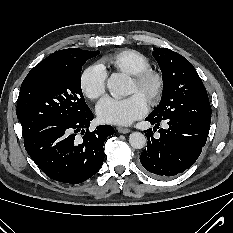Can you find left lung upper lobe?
<instances>
[{"label":"left lung upper lobe","instance_id":"5c2ea615","mask_svg":"<svg viewBox=\"0 0 233 233\" xmlns=\"http://www.w3.org/2000/svg\"><path fill=\"white\" fill-rule=\"evenodd\" d=\"M152 55L162 71L163 92L159 105L149 115L158 121L186 116L210 124L207 91L193 65L182 55L154 48Z\"/></svg>","mask_w":233,"mask_h":233}]
</instances>
